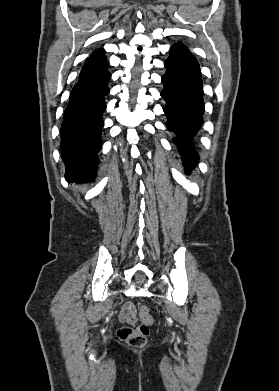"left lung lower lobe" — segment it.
I'll return each instance as SVG.
<instances>
[{"instance_id": "left-lung-lower-lobe-1", "label": "left lung lower lobe", "mask_w": 279, "mask_h": 391, "mask_svg": "<svg viewBox=\"0 0 279 391\" xmlns=\"http://www.w3.org/2000/svg\"><path fill=\"white\" fill-rule=\"evenodd\" d=\"M167 68L162 77L165 99L163 107L168 118L167 128L175 134L174 142L187 171L197 164L193 137L203 122L204 100L201 72L197 60L186 48L172 46L164 63Z\"/></svg>"}]
</instances>
